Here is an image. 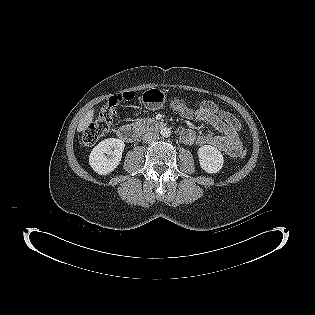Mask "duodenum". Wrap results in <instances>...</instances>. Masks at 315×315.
I'll list each match as a JSON object with an SVG mask.
<instances>
[{
    "instance_id": "1",
    "label": "duodenum",
    "mask_w": 315,
    "mask_h": 315,
    "mask_svg": "<svg viewBox=\"0 0 315 315\" xmlns=\"http://www.w3.org/2000/svg\"><path fill=\"white\" fill-rule=\"evenodd\" d=\"M165 127L163 122L144 120L133 124L121 126L118 131V137L126 142H134L146 131H154Z\"/></svg>"
}]
</instances>
